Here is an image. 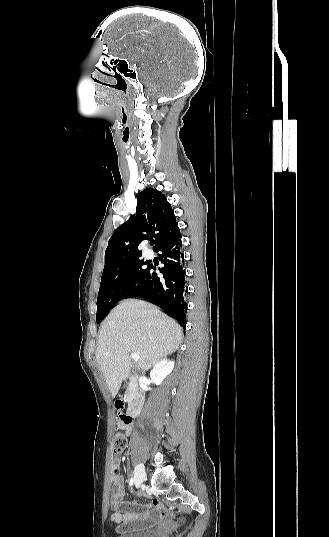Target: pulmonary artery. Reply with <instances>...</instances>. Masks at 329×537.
I'll list each match as a JSON object with an SVG mask.
<instances>
[{
  "label": "pulmonary artery",
  "mask_w": 329,
  "mask_h": 537,
  "mask_svg": "<svg viewBox=\"0 0 329 537\" xmlns=\"http://www.w3.org/2000/svg\"><path fill=\"white\" fill-rule=\"evenodd\" d=\"M147 256H150V253H149V252H147Z\"/></svg>",
  "instance_id": "e3ab8cb5"
}]
</instances>
